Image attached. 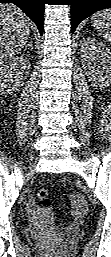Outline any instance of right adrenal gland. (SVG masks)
Listing matches in <instances>:
<instances>
[{
    "label": "right adrenal gland",
    "instance_id": "right-adrenal-gland-1",
    "mask_svg": "<svg viewBox=\"0 0 111 257\" xmlns=\"http://www.w3.org/2000/svg\"><path fill=\"white\" fill-rule=\"evenodd\" d=\"M28 47H30L31 49H33V41L32 38H30L29 43L27 44Z\"/></svg>",
    "mask_w": 111,
    "mask_h": 257
}]
</instances>
